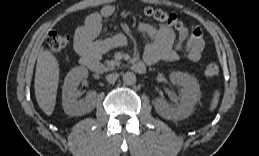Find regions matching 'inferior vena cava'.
I'll list each match as a JSON object with an SVG mask.
<instances>
[{"label": "inferior vena cava", "instance_id": "602c4592", "mask_svg": "<svg viewBox=\"0 0 259 156\" xmlns=\"http://www.w3.org/2000/svg\"><path fill=\"white\" fill-rule=\"evenodd\" d=\"M119 77V74L118 73H111V74H108L106 76V80L109 82V83H114Z\"/></svg>", "mask_w": 259, "mask_h": 156}]
</instances>
